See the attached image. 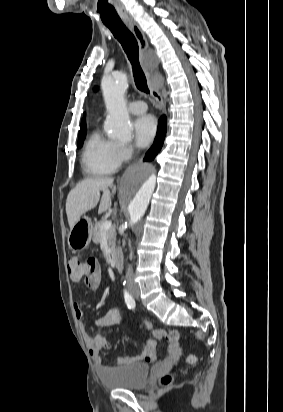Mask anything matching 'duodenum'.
<instances>
[{
  "instance_id": "1",
  "label": "duodenum",
  "mask_w": 283,
  "mask_h": 412,
  "mask_svg": "<svg viewBox=\"0 0 283 412\" xmlns=\"http://www.w3.org/2000/svg\"><path fill=\"white\" fill-rule=\"evenodd\" d=\"M112 261L117 271H121L123 268V258L120 252L114 253L112 255Z\"/></svg>"
}]
</instances>
